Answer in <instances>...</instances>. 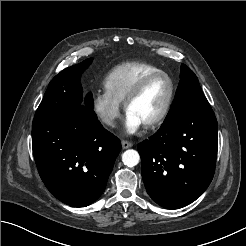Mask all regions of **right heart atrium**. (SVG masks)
Returning a JSON list of instances; mask_svg holds the SVG:
<instances>
[{
  "label": "right heart atrium",
  "instance_id": "obj_1",
  "mask_svg": "<svg viewBox=\"0 0 246 246\" xmlns=\"http://www.w3.org/2000/svg\"><path fill=\"white\" fill-rule=\"evenodd\" d=\"M97 119L106 127L113 128L121 113V105L107 91H97L91 100Z\"/></svg>",
  "mask_w": 246,
  "mask_h": 246
}]
</instances>
